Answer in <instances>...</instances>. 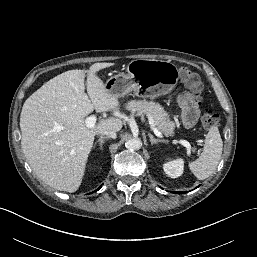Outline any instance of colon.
I'll use <instances>...</instances> for the list:
<instances>
[{"label": "colon", "mask_w": 257, "mask_h": 257, "mask_svg": "<svg viewBox=\"0 0 257 257\" xmlns=\"http://www.w3.org/2000/svg\"><path fill=\"white\" fill-rule=\"evenodd\" d=\"M180 79L182 83L191 91L194 97L197 99H202L204 87L196 73L187 68H181ZM219 120L220 117L217 113L205 111L201 117V124L205 130H210L218 125Z\"/></svg>", "instance_id": "colon-1"}]
</instances>
